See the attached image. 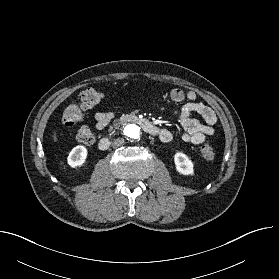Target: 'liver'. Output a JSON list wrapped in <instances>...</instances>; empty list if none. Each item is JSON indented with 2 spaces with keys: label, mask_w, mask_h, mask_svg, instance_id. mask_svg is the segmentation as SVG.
<instances>
[{
  "label": "liver",
  "mask_w": 279,
  "mask_h": 279,
  "mask_svg": "<svg viewBox=\"0 0 279 279\" xmlns=\"http://www.w3.org/2000/svg\"><path fill=\"white\" fill-rule=\"evenodd\" d=\"M53 140H54V142H56V141H57L56 132H54V133H53Z\"/></svg>",
  "instance_id": "liver-1"
}]
</instances>
